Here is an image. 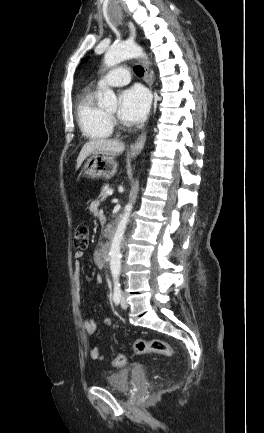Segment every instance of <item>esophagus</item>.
Returning <instances> with one entry per match:
<instances>
[{
	"label": "esophagus",
	"instance_id": "esophagus-1",
	"mask_svg": "<svg viewBox=\"0 0 264 433\" xmlns=\"http://www.w3.org/2000/svg\"><path fill=\"white\" fill-rule=\"evenodd\" d=\"M143 68H144V79H145V82L147 83V85L151 89V87H152V78H151V75L149 73L148 67L146 66L145 63H143ZM145 141H146V131H144L137 138V140L133 143V145L131 146L130 154H131L132 157L137 156L141 152V150L144 147Z\"/></svg>",
	"mask_w": 264,
	"mask_h": 433
}]
</instances>
